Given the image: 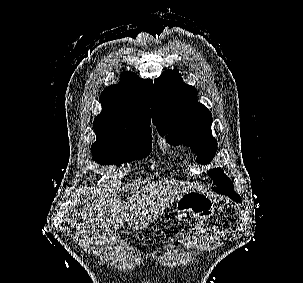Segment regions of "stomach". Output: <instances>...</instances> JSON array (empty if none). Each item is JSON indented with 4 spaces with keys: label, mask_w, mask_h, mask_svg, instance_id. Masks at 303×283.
<instances>
[{
    "label": "stomach",
    "mask_w": 303,
    "mask_h": 283,
    "mask_svg": "<svg viewBox=\"0 0 303 283\" xmlns=\"http://www.w3.org/2000/svg\"><path fill=\"white\" fill-rule=\"evenodd\" d=\"M176 211L180 216L206 219L214 214L215 202L208 195L196 191H189L177 198ZM163 214L164 213L161 215Z\"/></svg>",
    "instance_id": "stomach-1"
}]
</instances>
